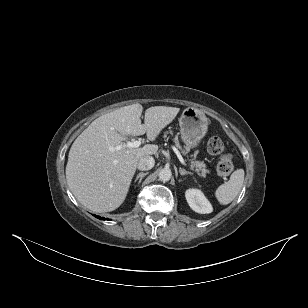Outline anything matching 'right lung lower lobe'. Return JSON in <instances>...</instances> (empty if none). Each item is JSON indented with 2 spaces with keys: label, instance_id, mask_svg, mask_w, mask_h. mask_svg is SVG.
Wrapping results in <instances>:
<instances>
[{
  "label": "right lung lower lobe",
  "instance_id": "98d812e1",
  "mask_svg": "<svg viewBox=\"0 0 308 308\" xmlns=\"http://www.w3.org/2000/svg\"><path fill=\"white\" fill-rule=\"evenodd\" d=\"M101 220H105V218H100Z\"/></svg>",
  "mask_w": 308,
  "mask_h": 308
}]
</instances>
